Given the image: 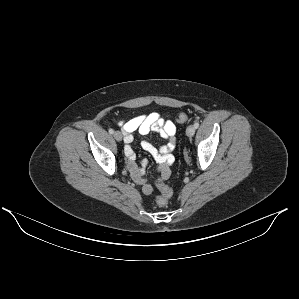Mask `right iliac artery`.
<instances>
[{"label":"right iliac artery","instance_id":"82829eb1","mask_svg":"<svg viewBox=\"0 0 299 299\" xmlns=\"http://www.w3.org/2000/svg\"><path fill=\"white\" fill-rule=\"evenodd\" d=\"M109 133H110V134H113V133H114V130L110 128V129H109Z\"/></svg>","mask_w":299,"mask_h":299}]
</instances>
